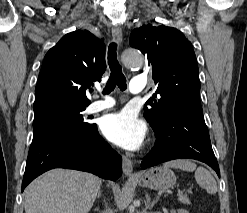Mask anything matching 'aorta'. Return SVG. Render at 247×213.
I'll return each mask as SVG.
<instances>
[{"instance_id": "aorta-1", "label": "aorta", "mask_w": 247, "mask_h": 213, "mask_svg": "<svg viewBox=\"0 0 247 213\" xmlns=\"http://www.w3.org/2000/svg\"><path fill=\"white\" fill-rule=\"evenodd\" d=\"M122 59L128 68H141L144 64L143 55L134 49H127L122 54Z\"/></svg>"}]
</instances>
